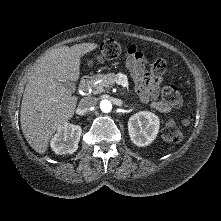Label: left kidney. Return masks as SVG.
I'll return each instance as SVG.
<instances>
[{
  "label": "left kidney",
  "mask_w": 221,
  "mask_h": 221,
  "mask_svg": "<svg viewBox=\"0 0 221 221\" xmlns=\"http://www.w3.org/2000/svg\"><path fill=\"white\" fill-rule=\"evenodd\" d=\"M159 118L152 112L141 111L129 118L128 131L131 141L144 147L153 142L159 132Z\"/></svg>",
  "instance_id": "1"
}]
</instances>
